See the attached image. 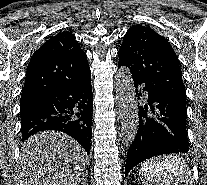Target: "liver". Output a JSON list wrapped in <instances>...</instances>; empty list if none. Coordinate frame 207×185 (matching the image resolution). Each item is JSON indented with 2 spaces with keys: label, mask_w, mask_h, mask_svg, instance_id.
I'll return each instance as SVG.
<instances>
[{
  "label": "liver",
  "mask_w": 207,
  "mask_h": 185,
  "mask_svg": "<svg viewBox=\"0 0 207 185\" xmlns=\"http://www.w3.org/2000/svg\"><path fill=\"white\" fill-rule=\"evenodd\" d=\"M89 157L61 131H41L23 143L15 185H80L87 177Z\"/></svg>",
  "instance_id": "obj_1"
}]
</instances>
